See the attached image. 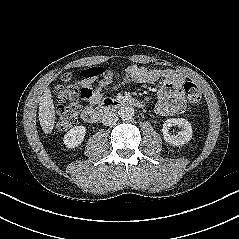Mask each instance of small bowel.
<instances>
[{"label":"small bowel","mask_w":239,"mask_h":239,"mask_svg":"<svg viewBox=\"0 0 239 239\" xmlns=\"http://www.w3.org/2000/svg\"><path fill=\"white\" fill-rule=\"evenodd\" d=\"M98 68H88L81 72L80 96L90 104H97L103 97L104 84L96 86ZM160 79L164 83L158 91L156 112L161 116H174L185 108V100L180 91L181 77L170 71L130 65L127 67V80L139 84H154Z\"/></svg>","instance_id":"small-bowel-1"}]
</instances>
